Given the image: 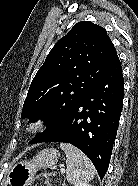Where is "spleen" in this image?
Wrapping results in <instances>:
<instances>
[{
  "label": "spleen",
  "instance_id": "3e777b00",
  "mask_svg": "<svg viewBox=\"0 0 138 186\" xmlns=\"http://www.w3.org/2000/svg\"><path fill=\"white\" fill-rule=\"evenodd\" d=\"M60 148L66 154V177L71 184L88 182L95 176L96 170L88 157L69 143H61Z\"/></svg>",
  "mask_w": 138,
  "mask_h": 186
}]
</instances>
